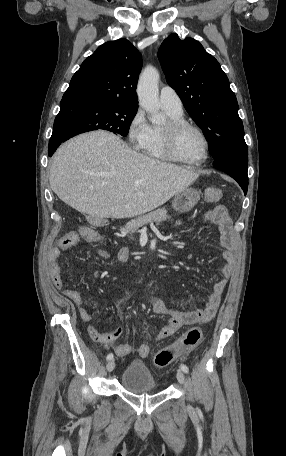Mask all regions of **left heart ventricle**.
Returning <instances> with one entry per match:
<instances>
[{
    "mask_svg": "<svg viewBox=\"0 0 286 456\" xmlns=\"http://www.w3.org/2000/svg\"><path fill=\"white\" fill-rule=\"evenodd\" d=\"M176 152L189 161L200 160L204 156V142L198 132L193 129L180 131L176 138Z\"/></svg>",
    "mask_w": 286,
    "mask_h": 456,
    "instance_id": "b2bd125f",
    "label": "left heart ventricle"
}]
</instances>
